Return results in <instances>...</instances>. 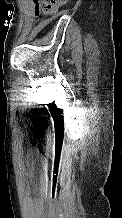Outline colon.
I'll return each mask as SVG.
<instances>
[{"label":"colon","mask_w":122,"mask_h":218,"mask_svg":"<svg viewBox=\"0 0 122 218\" xmlns=\"http://www.w3.org/2000/svg\"><path fill=\"white\" fill-rule=\"evenodd\" d=\"M37 2H41L43 5L42 11L46 14L55 13L62 2L65 0H36ZM39 9H36V13H39Z\"/></svg>","instance_id":"colon-1"}]
</instances>
